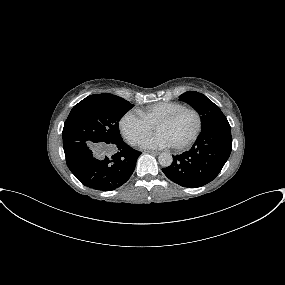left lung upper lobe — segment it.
Here are the masks:
<instances>
[{"instance_id":"5c2ea615","label":"left lung upper lobe","mask_w":285,"mask_h":285,"mask_svg":"<svg viewBox=\"0 0 285 285\" xmlns=\"http://www.w3.org/2000/svg\"><path fill=\"white\" fill-rule=\"evenodd\" d=\"M180 100L191 105L201 115L202 128L229 124L219 107L201 93L188 91L180 95Z\"/></svg>"}]
</instances>
